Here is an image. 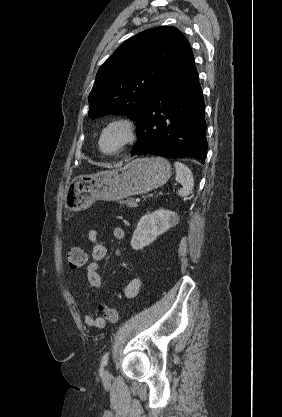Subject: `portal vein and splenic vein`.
<instances>
[{
    "label": "portal vein and splenic vein",
    "instance_id": "obj_1",
    "mask_svg": "<svg viewBox=\"0 0 282 417\" xmlns=\"http://www.w3.org/2000/svg\"><path fill=\"white\" fill-rule=\"evenodd\" d=\"M136 202H137V203H141V202H142V199H141V198H137V199H136Z\"/></svg>",
    "mask_w": 282,
    "mask_h": 417
}]
</instances>
